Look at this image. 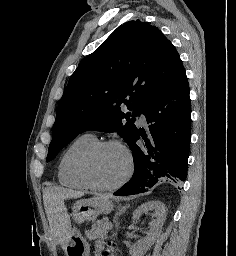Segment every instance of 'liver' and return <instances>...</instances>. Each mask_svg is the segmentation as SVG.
Wrapping results in <instances>:
<instances>
[{
	"label": "liver",
	"mask_w": 236,
	"mask_h": 256,
	"mask_svg": "<svg viewBox=\"0 0 236 256\" xmlns=\"http://www.w3.org/2000/svg\"><path fill=\"white\" fill-rule=\"evenodd\" d=\"M81 196H84L83 192H74V190H67V188H46L43 192V202L49 222H53L58 200L81 198Z\"/></svg>",
	"instance_id": "liver-1"
}]
</instances>
